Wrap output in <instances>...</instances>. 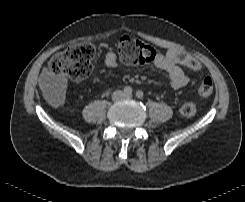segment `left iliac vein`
Masks as SVG:
<instances>
[{
    "label": "left iliac vein",
    "instance_id": "left-iliac-vein-1",
    "mask_svg": "<svg viewBox=\"0 0 245 202\" xmlns=\"http://www.w3.org/2000/svg\"><path fill=\"white\" fill-rule=\"evenodd\" d=\"M132 97V95L130 94V95H125V98H127V99H130Z\"/></svg>",
    "mask_w": 245,
    "mask_h": 202
}]
</instances>
